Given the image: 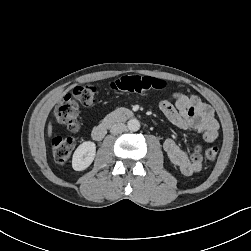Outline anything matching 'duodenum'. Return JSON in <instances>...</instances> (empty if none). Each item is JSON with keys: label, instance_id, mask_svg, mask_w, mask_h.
<instances>
[{"label": "duodenum", "instance_id": "1", "mask_svg": "<svg viewBox=\"0 0 251 251\" xmlns=\"http://www.w3.org/2000/svg\"><path fill=\"white\" fill-rule=\"evenodd\" d=\"M133 117V113L128 109H119L108 114L97 126L92 130L94 140H102L108 129L113 125L126 121Z\"/></svg>", "mask_w": 251, "mask_h": 251}]
</instances>
